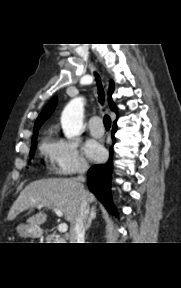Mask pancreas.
I'll return each mask as SVG.
<instances>
[{"instance_id": "1", "label": "pancreas", "mask_w": 181, "mask_h": 288, "mask_svg": "<svg viewBox=\"0 0 181 288\" xmlns=\"http://www.w3.org/2000/svg\"><path fill=\"white\" fill-rule=\"evenodd\" d=\"M46 240L48 241V243H51V241H53V243H60L61 242V241H58L60 239L57 238L55 234L48 235Z\"/></svg>"}]
</instances>
